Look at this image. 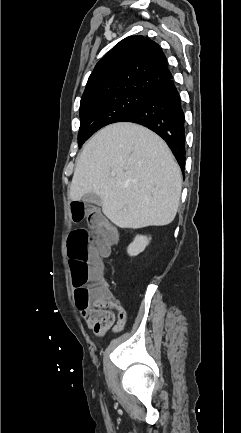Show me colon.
I'll list each match as a JSON object with an SVG mask.
<instances>
[{"mask_svg":"<svg viewBox=\"0 0 241 433\" xmlns=\"http://www.w3.org/2000/svg\"><path fill=\"white\" fill-rule=\"evenodd\" d=\"M71 221H88L93 229V238L85 229H77L69 236L68 256L73 272V287L77 310L86 312L96 300L105 296L102 285L101 256L116 242L107 220L100 213L99 205L91 201L70 202Z\"/></svg>","mask_w":241,"mask_h":433,"instance_id":"5ec220e1","label":"colon"}]
</instances>
